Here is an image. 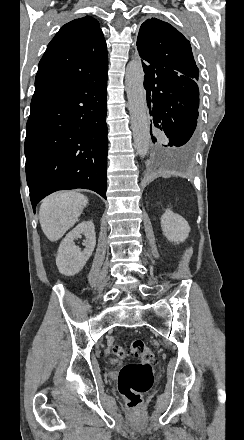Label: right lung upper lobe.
<instances>
[{
	"label": "right lung upper lobe",
	"instance_id": "right-lung-upper-lobe-1",
	"mask_svg": "<svg viewBox=\"0 0 244 440\" xmlns=\"http://www.w3.org/2000/svg\"><path fill=\"white\" fill-rule=\"evenodd\" d=\"M108 66L107 46L96 19L86 16L65 24L39 62L35 86Z\"/></svg>",
	"mask_w": 244,
	"mask_h": 440
}]
</instances>
